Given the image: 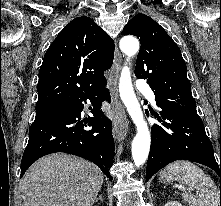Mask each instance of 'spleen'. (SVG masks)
<instances>
[{"label":"spleen","mask_w":221,"mask_h":206,"mask_svg":"<svg viewBox=\"0 0 221 206\" xmlns=\"http://www.w3.org/2000/svg\"><path fill=\"white\" fill-rule=\"evenodd\" d=\"M167 169L180 183L195 187L196 195L183 192V199L189 206H219V193L216 184L209 175L190 161H176Z\"/></svg>","instance_id":"3e777b00"}]
</instances>
